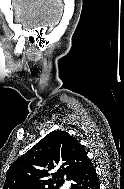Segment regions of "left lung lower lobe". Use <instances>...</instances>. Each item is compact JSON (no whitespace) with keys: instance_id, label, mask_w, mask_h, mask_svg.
<instances>
[{"instance_id":"obj_1","label":"left lung lower lobe","mask_w":124,"mask_h":189,"mask_svg":"<svg viewBox=\"0 0 124 189\" xmlns=\"http://www.w3.org/2000/svg\"><path fill=\"white\" fill-rule=\"evenodd\" d=\"M73 189H99V181L95 166L90 159H87L82 169L72 178Z\"/></svg>"}]
</instances>
